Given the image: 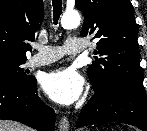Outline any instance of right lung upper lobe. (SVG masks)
Returning <instances> with one entry per match:
<instances>
[{"label": "right lung upper lobe", "instance_id": "1", "mask_svg": "<svg viewBox=\"0 0 147 131\" xmlns=\"http://www.w3.org/2000/svg\"><path fill=\"white\" fill-rule=\"evenodd\" d=\"M43 16L42 0H0V56L25 59Z\"/></svg>", "mask_w": 147, "mask_h": 131}]
</instances>
